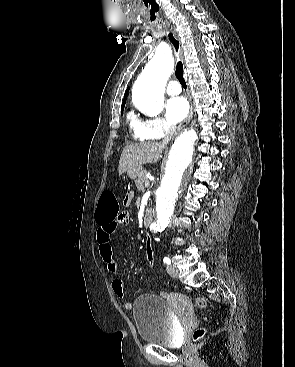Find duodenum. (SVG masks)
Listing matches in <instances>:
<instances>
[{
  "instance_id": "1",
  "label": "duodenum",
  "mask_w": 295,
  "mask_h": 367,
  "mask_svg": "<svg viewBox=\"0 0 295 367\" xmlns=\"http://www.w3.org/2000/svg\"><path fill=\"white\" fill-rule=\"evenodd\" d=\"M153 221V212L151 210H147L144 214L143 223L145 227H148Z\"/></svg>"
}]
</instances>
